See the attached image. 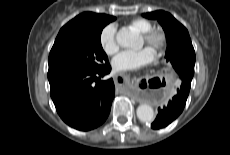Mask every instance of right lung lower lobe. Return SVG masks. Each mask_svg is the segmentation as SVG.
Here are the masks:
<instances>
[{
    "instance_id": "obj_1",
    "label": "right lung lower lobe",
    "mask_w": 230,
    "mask_h": 155,
    "mask_svg": "<svg viewBox=\"0 0 230 155\" xmlns=\"http://www.w3.org/2000/svg\"><path fill=\"white\" fill-rule=\"evenodd\" d=\"M109 64L97 70H64L48 73L50 94L56 110L69 126L88 131L108 117L115 95Z\"/></svg>"
}]
</instances>
